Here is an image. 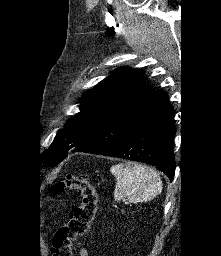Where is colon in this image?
I'll return each mask as SVG.
<instances>
[{"mask_svg": "<svg viewBox=\"0 0 221 256\" xmlns=\"http://www.w3.org/2000/svg\"><path fill=\"white\" fill-rule=\"evenodd\" d=\"M67 190L78 192L81 203L72 210L69 222L56 231L54 256H73L74 242L88 233L98 208V194L87 175H70L52 186L55 195Z\"/></svg>", "mask_w": 221, "mask_h": 256, "instance_id": "1", "label": "colon"}]
</instances>
